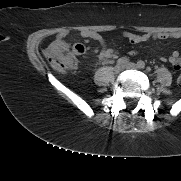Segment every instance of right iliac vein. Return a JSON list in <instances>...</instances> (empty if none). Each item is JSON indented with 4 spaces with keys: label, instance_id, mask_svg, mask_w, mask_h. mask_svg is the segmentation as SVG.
<instances>
[{
    "label": "right iliac vein",
    "instance_id": "obj_1",
    "mask_svg": "<svg viewBox=\"0 0 181 181\" xmlns=\"http://www.w3.org/2000/svg\"><path fill=\"white\" fill-rule=\"evenodd\" d=\"M123 69H124V65L117 64L114 68V71L116 74H119L121 71H123Z\"/></svg>",
    "mask_w": 181,
    "mask_h": 181
}]
</instances>
